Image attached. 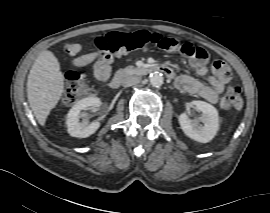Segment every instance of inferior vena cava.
Wrapping results in <instances>:
<instances>
[{
	"label": "inferior vena cava",
	"instance_id": "602c4592",
	"mask_svg": "<svg viewBox=\"0 0 270 213\" xmlns=\"http://www.w3.org/2000/svg\"><path fill=\"white\" fill-rule=\"evenodd\" d=\"M140 77H137V76H128V77H125L122 81V85L124 87H130V86H133V85H136L138 83H140Z\"/></svg>",
	"mask_w": 270,
	"mask_h": 213
}]
</instances>
